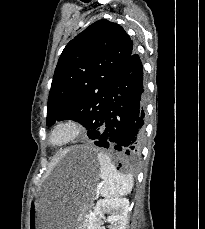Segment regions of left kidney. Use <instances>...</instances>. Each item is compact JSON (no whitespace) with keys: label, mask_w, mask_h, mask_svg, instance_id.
Returning a JSON list of instances; mask_svg holds the SVG:
<instances>
[{"label":"left kidney","mask_w":205,"mask_h":229,"mask_svg":"<svg viewBox=\"0 0 205 229\" xmlns=\"http://www.w3.org/2000/svg\"><path fill=\"white\" fill-rule=\"evenodd\" d=\"M128 211L129 200L126 198L100 199L88 217L87 229H104L102 224L105 214H109L106 221L111 224L110 229H125Z\"/></svg>","instance_id":"1"}]
</instances>
